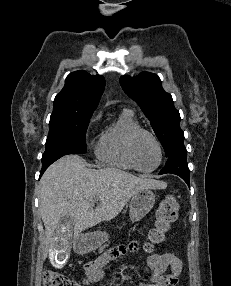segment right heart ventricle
<instances>
[{
	"label": "right heart ventricle",
	"instance_id": "right-heart-ventricle-1",
	"mask_svg": "<svg viewBox=\"0 0 231 286\" xmlns=\"http://www.w3.org/2000/svg\"><path fill=\"white\" fill-rule=\"evenodd\" d=\"M139 127L133 111L124 109L117 120L102 131L95 146L97 159L110 167L134 170L126 153V142L129 134Z\"/></svg>",
	"mask_w": 231,
	"mask_h": 286
}]
</instances>
